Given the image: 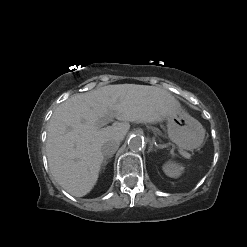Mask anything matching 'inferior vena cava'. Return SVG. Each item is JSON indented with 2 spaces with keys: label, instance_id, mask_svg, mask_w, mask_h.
Returning <instances> with one entry per match:
<instances>
[{
  "label": "inferior vena cava",
  "instance_id": "1",
  "mask_svg": "<svg viewBox=\"0 0 247 247\" xmlns=\"http://www.w3.org/2000/svg\"><path fill=\"white\" fill-rule=\"evenodd\" d=\"M120 145V141L118 140H109L106 141L103 145H102V153L105 156H112L119 148Z\"/></svg>",
  "mask_w": 247,
  "mask_h": 247
}]
</instances>
